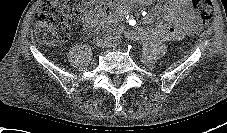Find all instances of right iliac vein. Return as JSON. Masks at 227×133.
<instances>
[{"label":"right iliac vein","instance_id":"right-iliac-vein-1","mask_svg":"<svg viewBox=\"0 0 227 133\" xmlns=\"http://www.w3.org/2000/svg\"><path fill=\"white\" fill-rule=\"evenodd\" d=\"M109 42H110V39H108L107 37L97 39V45L99 47H105L107 46V44H109Z\"/></svg>","mask_w":227,"mask_h":133}]
</instances>
